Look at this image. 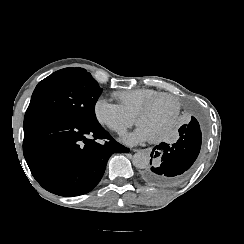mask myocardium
<instances>
[{
    "label": "myocardium",
    "instance_id": "f54148a6",
    "mask_svg": "<svg viewBox=\"0 0 244 244\" xmlns=\"http://www.w3.org/2000/svg\"><path fill=\"white\" fill-rule=\"evenodd\" d=\"M128 90H131V89H128ZM161 100L162 101H165V100L171 101L173 103V105H174L173 111H169V117L164 120L165 123H166V127L171 125L174 122L176 114H177V112L179 110V102H178L176 97H174L172 95H169V94H162L161 97H155L154 101H151L149 104H146L145 106H143V108L140 109L136 113L137 123L140 124V118H139L140 115L148 113L147 111L152 109V108H154L156 106V103H160Z\"/></svg>",
    "mask_w": 244,
    "mask_h": 244
}]
</instances>
